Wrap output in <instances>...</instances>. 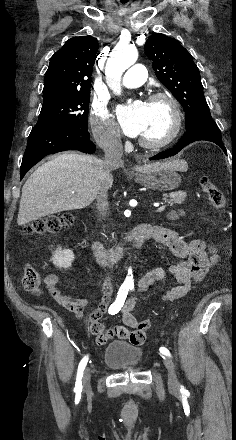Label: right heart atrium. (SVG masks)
<instances>
[{"label":"right heart atrium","mask_w":236,"mask_h":440,"mask_svg":"<svg viewBox=\"0 0 236 440\" xmlns=\"http://www.w3.org/2000/svg\"><path fill=\"white\" fill-rule=\"evenodd\" d=\"M90 125L97 144L105 150L119 148V132L107 106L101 102L92 105Z\"/></svg>","instance_id":"d8ad5b80"}]
</instances>
